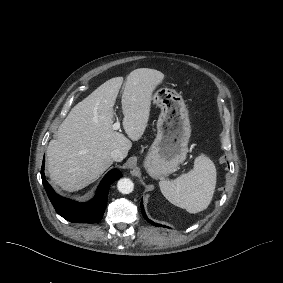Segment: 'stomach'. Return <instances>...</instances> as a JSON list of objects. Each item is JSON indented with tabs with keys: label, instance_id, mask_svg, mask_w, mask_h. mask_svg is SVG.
<instances>
[{
	"label": "stomach",
	"instance_id": "1",
	"mask_svg": "<svg viewBox=\"0 0 283 283\" xmlns=\"http://www.w3.org/2000/svg\"><path fill=\"white\" fill-rule=\"evenodd\" d=\"M151 99L161 113L145 166L151 176L162 177L174 172L186 159L191 128L189 110L181 94L170 87L156 88Z\"/></svg>",
	"mask_w": 283,
	"mask_h": 283
}]
</instances>
